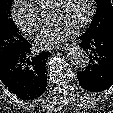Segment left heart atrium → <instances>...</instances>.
<instances>
[{
	"mask_svg": "<svg viewBox=\"0 0 113 113\" xmlns=\"http://www.w3.org/2000/svg\"><path fill=\"white\" fill-rule=\"evenodd\" d=\"M74 33V27L61 21H54L43 28L35 39L40 50H50L61 46Z\"/></svg>",
	"mask_w": 113,
	"mask_h": 113,
	"instance_id": "left-heart-atrium-1",
	"label": "left heart atrium"
}]
</instances>
